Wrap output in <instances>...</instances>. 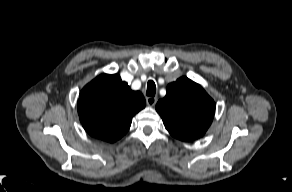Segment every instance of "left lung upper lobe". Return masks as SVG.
I'll return each mask as SVG.
<instances>
[{
    "instance_id": "obj_1",
    "label": "left lung upper lobe",
    "mask_w": 292,
    "mask_h": 192,
    "mask_svg": "<svg viewBox=\"0 0 292 192\" xmlns=\"http://www.w3.org/2000/svg\"><path fill=\"white\" fill-rule=\"evenodd\" d=\"M156 111L173 137L192 141L209 128L215 103L199 84L181 77L167 86V94L156 104Z\"/></svg>"
}]
</instances>
